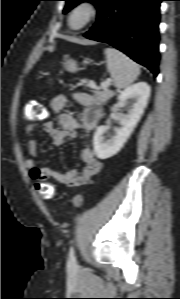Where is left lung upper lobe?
Segmentation results:
<instances>
[{"label": "left lung upper lobe", "instance_id": "1", "mask_svg": "<svg viewBox=\"0 0 180 299\" xmlns=\"http://www.w3.org/2000/svg\"><path fill=\"white\" fill-rule=\"evenodd\" d=\"M64 1H66V6L63 10L64 13H67L69 10H71L80 2H91L94 3L96 7H98L99 4L102 2V0H64Z\"/></svg>", "mask_w": 180, "mask_h": 299}]
</instances>
